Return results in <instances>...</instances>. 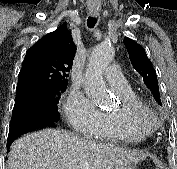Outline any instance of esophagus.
<instances>
[{"label":"esophagus","mask_w":177,"mask_h":169,"mask_svg":"<svg viewBox=\"0 0 177 169\" xmlns=\"http://www.w3.org/2000/svg\"><path fill=\"white\" fill-rule=\"evenodd\" d=\"M100 5L90 6L89 13L92 16H97L99 14Z\"/></svg>","instance_id":"esophagus-1"}]
</instances>
